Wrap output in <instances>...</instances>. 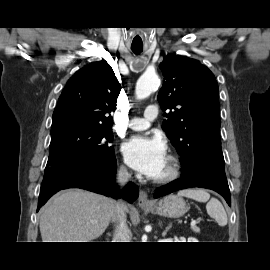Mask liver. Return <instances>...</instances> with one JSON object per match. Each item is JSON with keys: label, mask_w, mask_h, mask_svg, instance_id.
<instances>
[{"label": "liver", "mask_w": 270, "mask_h": 270, "mask_svg": "<svg viewBox=\"0 0 270 270\" xmlns=\"http://www.w3.org/2000/svg\"><path fill=\"white\" fill-rule=\"evenodd\" d=\"M115 207V200L102 195L79 189L62 191L42 209V240L90 242L105 232Z\"/></svg>", "instance_id": "1"}]
</instances>
